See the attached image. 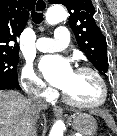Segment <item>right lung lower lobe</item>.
Wrapping results in <instances>:
<instances>
[{
    "label": "right lung lower lobe",
    "mask_w": 117,
    "mask_h": 136,
    "mask_svg": "<svg viewBox=\"0 0 117 136\" xmlns=\"http://www.w3.org/2000/svg\"><path fill=\"white\" fill-rule=\"evenodd\" d=\"M13 88L21 90L17 79H15V78H0V90L13 89Z\"/></svg>",
    "instance_id": "98d812e1"
}]
</instances>
